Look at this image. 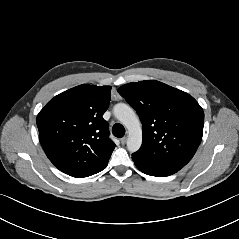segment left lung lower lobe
Masks as SVG:
<instances>
[{
	"instance_id": "0a47b994",
	"label": "left lung lower lobe",
	"mask_w": 239,
	"mask_h": 239,
	"mask_svg": "<svg viewBox=\"0 0 239 239\" xmlns=\"http://www.w3.org/2000/svg\"><path fill=\"white\" fill-rule=\"evenodd\" d=\"M132 159L135 162V165L139 170H141L143 173L156 176V177H164L174 174L173 172L166 171L164 169H161L159 167L153 166L149 163L143 162L136 158L134 155H132Z\"/></svg>"
}]
</instances>
